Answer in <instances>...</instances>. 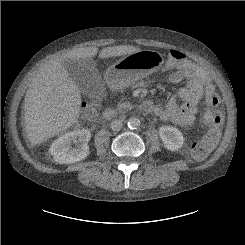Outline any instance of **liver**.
Segmentation results:
<instances>
[{
  "instance_id": "1",
  "label": "liver",
  "mask_w": 245,
  "mask_h": 245,
  "mask_svg": "<svg viewBox=\"0 0 245 245\" xmlns=\"http://www.w3.org/2000/svg\"><path fill=\"white\" fill-rule=\"evenodd\" d=\"M131 45L110 46L102 49L101 58L117 57L140 51ZM98 53L97 47L71 50L47 62L32 79L24 100V123L28 140L39 145L78 121L81 95L69 77L65 62L88 59Z\"/></svg>"
}]
</instances>
